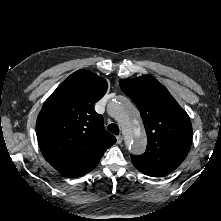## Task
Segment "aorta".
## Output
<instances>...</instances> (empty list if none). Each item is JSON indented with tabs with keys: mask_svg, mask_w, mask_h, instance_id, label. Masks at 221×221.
Listing matches in <instances>:
<instances>
[{
	"mask_svg": "<svg viewBox=\"0 0 221 221\" xmlns=\"http://www.w3.org/2000/svg\"><path fill=\"white\" fill-rule=\"evenodd\" d=\"M123 131L125 146L134 154H141L146 148V138L139 113L128 100H116L108 105Z\"/></svg>",
	"mask_w": 221,
	"mask_h": 221,
	"instance_id": "762f6f07",
	"label": "aorta"
}]
</instances>
